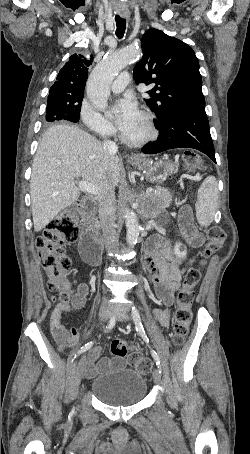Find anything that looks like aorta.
<instances>
[{
    "label": "aorta",
    "instance_id": "obj_1",
    "mask_svg": "<svg viewBox=\"0 0 250 454\" xmlns=\"http://www.w3.org/2000/svg\"><path fill=\"white\" fill-rule=\"evenodd\" d=\"M140 55V49L135 46L109 53L91 72L87 82V97L90 102L105 113L110 96V85L118 73ZM126 240L129 245L137 243L140 225L136 214L125 210Z\"/></svg>",
    "mask_w": 250,
    "mask_h": 454
}]
</instances>
